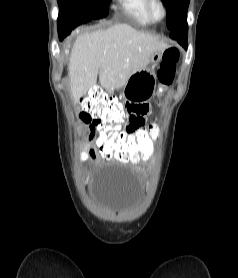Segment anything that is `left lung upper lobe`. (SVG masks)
Wrapping results in <instances>:
<instances>
[{"label": "left lung upper lobe", "instance_id": "left-lung-upper-lobe-1", "mask_svg": "<svg viewBox=\"0 0 238 278\" xmlns=\"http://www.w3.org/2000/svg\"><path fill=\"white\" fill-rule=\"evenodd\" d=\"M167 8V27L173 29L180 18L187 14L189 0H164Z\"/></svg>", "mask_w": 238, "mask_h": 278}]
</instances>
